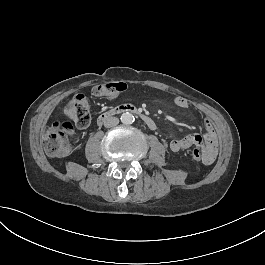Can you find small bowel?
Returning <instances> with one entry per match:
<instances>
[{"label":"small bowel","mask_w":265,"mask_h":265,"mask_svg":"<svg viewBox=\"0 0 265 265\" xmlns=\"http://www.w3.org/2000/svg\"><path fill=\"white\" fill-rule=\"evenodd\" d=\"M174 104L179 108V109H187L189 108V101L181 96H177L174 98ZM203 126L205 130L204 134V140L206 143V148L208 150V158L204 162L206 165H211L216 157H217V141H216V136L213 130L212 123L210 119L204 118L203 119ZM201 136L200 135H187L183 138H178V139H173L169 143V148L173 152H178L184 149H187L191 147L194 144H198L201 142Z\"/></svg>","instance_id":"c3829d8e"}]
</instances>
